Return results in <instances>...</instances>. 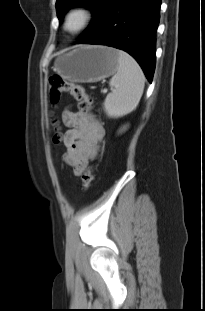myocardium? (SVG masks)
Wrapping results in <instances>:
<instances>
[{"mask_svg":"<svg viewBox=\"0 0 205 311\" xmlns=\"http://www.w3.org/2000/svg\"><path fill=\"white\" fill-rule=\"evenodd\" d=\"M74 15H79L81 17V22L77 27L70 28L69 23ZM92 19H93V12L89 7L84 5H74L69 8L64 17L63 29L69 34L73 35L80 34L89 27V25L92 22Z\"/></svg>","mask_w":205,"mask_h":311,"instance_id":"f54148a6","label":"myocardium"}]
</instances>
